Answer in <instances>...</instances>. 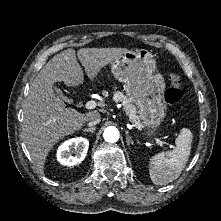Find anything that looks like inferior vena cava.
Here are the masks:
<instances>
[{"label":"inferior vena cava","mask_w":221,"mask_h":221,"mask_svg":"<svg viewBox=\"0 0 221 221\" xmlns=\"http://www.w3.org/2000/svg\"><path fill=\"white\" fill-rule=\"evenodd\" d=\"M100 121H101L100 116H97V117L93 118L92 120H90L87 125H88L89 127H94V126H95L96 124H98Z\"/></svg>","instance_id":"inferior-vena-cava-1"}]
</instances>
